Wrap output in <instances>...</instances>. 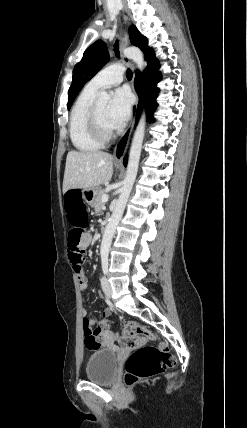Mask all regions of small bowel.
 <instances>
[{
  "label": "small bowel",
  "instance_id": "small-bowel-1",
  "mask_svg": "<svg viewBox=\"0 0 247 428\" xmlns=\"http://www.w3.org/2000/svg\"><path fill=\"white\" fill-rule=\"evenodd\" d=\"M85 208V207H84ZM92 243V235L90 233H85L82 235L81 240L79 242L78 248L84 252L85 250L88 249V247L91 245ZM69 259L71 261V263L73 264V268L78 276V281H79V287L82 291L86 290L88 288V280L86 278V275L84 273V271L81 268V263L79 261H77L74 258V254L72 253V251H69ZM106 309V308H105ZM104 310V309H103ZM82 315L83 318L87 317L90 320L89 325L92 327L93 325L97 324V319L94 317H88L87 316V309L83 308L82 309ZM100 322L97 324L99 325ZM108 324V323H107ZM109 326V324H108ZM104 339L108 342V344H110L113 340L112 335L108 332L104 333Z\"/></svg>",
  "mask_w": 247,
  "mask_h": 428
}]
</instances>
